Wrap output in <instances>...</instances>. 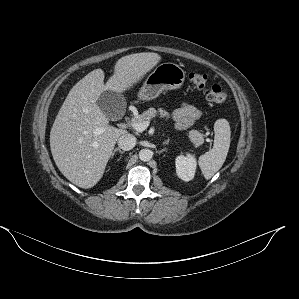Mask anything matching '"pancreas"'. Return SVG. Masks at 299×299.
<instances>
[{"mask_svg":"<svg viewBox=\"0 0 299 299\" xmlns=\"http://www.w3.org/2000/svg\"><path fill=\"white\" fill-rule=\"evenodd\" d=\"M157 115H159L161 118H170L169 112L164 110L163 108H159L158 110H156L155 108L151 107L148 110L144 111L141 115H138L137 117L133 118L132 121L137 123H143L146 121H150ZM188 137L195 147H199L204 143V135L197 130L189 131Z\"/></svg>","mask_w":299,"mask_h":299,"instance_id":"1","label":"pancreas"}]
</instances>
